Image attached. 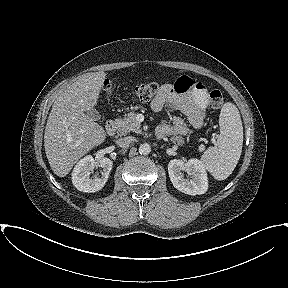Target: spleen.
Here are the masks:
<instances>
[{
    "instance_id": "obj_1",
    "label": "spleen",
    "mask_w": 288,
    "mask_h": 288,
    "mask_svg": "<svg viewBox=\"0 0 288 288\" xmlns=\"http://www.w3.org/2000/svg\"><path fill=\"white\" fill-rule=\"evenodd\" d=\"M220 134L216 146L201 157L204 167L217 180H225L235 169L242 152L243 126L238 108L226 102L219 116Z\"/></svg>"
}]
</instances>
